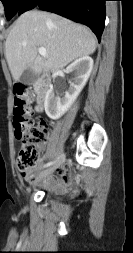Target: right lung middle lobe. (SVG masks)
<instances>
[{
	"mask_svg": "<svg viewBox=\"0 0 133 253\" xmlns=\"http://www.w3.org/2000/svg\"><path fill=\"white\" fill-rule=\"evenodd\" d=\"M2 1L5 9V15L10 20L18 13L25 0H0Z\"/></svg>",
	"mask_w": 133,
	"mask_h": 253,
	"instance_id": "right-lung-middle-lobe-1",
	"label": "right lung middle lobe"
}]
</instances>
